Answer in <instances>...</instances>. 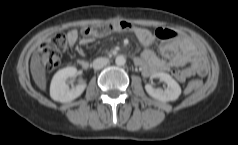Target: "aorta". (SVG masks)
Instances as JSON below:
<instances>
[{
	"label": "aorta",
	"mask_w": 238,
	"mask_h": 145,
	"mask_svg": "<svg viewBox=\"0 0 238 145\" xmlns=\"http://www.w3.org/2000/svg\"><path fill=\"white\" fill-rule=\"evenodd\" d=\"M115 63L118 66H123L126 63V58L123 55H119L116 57Z\"/></svg>",
	"instance_id": "1"
}]
</instances>
